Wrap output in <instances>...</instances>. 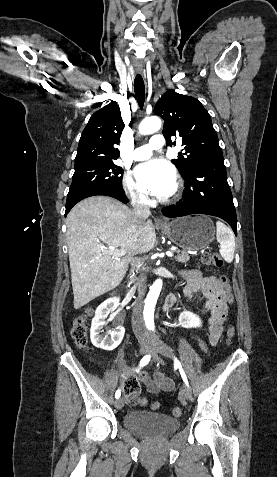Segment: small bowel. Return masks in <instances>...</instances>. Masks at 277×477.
<instances>
[{
    "instance_id": "small-bowel-1",
    "label": "small bowel",
    "mask_w": 277,
    "mask_h": 477,
    "mask_svg": "<svg viewBox=\"0 0 277 477\" xmlns=\"http://www.w3.org/2000/svg\"><path fill=\"white\" fill-rule=\"evenodd\" d=\"M223 287L220 281L214 276H203L197 270L186 273V286L184 289L186 295L192 296L201 291L205 297L204 309L210 314L208 319V338L211 344H216L222 335V325L227 314L228 302ZM199 344L202 349H205L206 346L204 342L199 341ZM137 379L142 382L148 392L152 394H157L161 391H171L174 388L172 379L160 371H155L152 377L146 372H140L137 375ZM128 380L134 381L139 386L135 378L131 377L128 378ZM146 404L147 400L142 398L140 405Z\"/></svg>"
}]
</instances>
